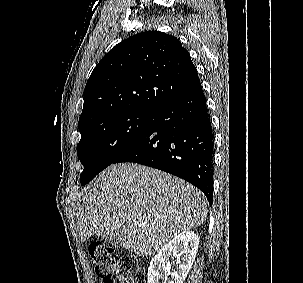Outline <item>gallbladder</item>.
Instances as JSON below:
<instances>
[{"mask_svg":"<svg viewBox=\"0 0 303 283\" xmlns=\"http://www.w3.org/2000/svg\"><path fill=\"white\" fill-rule=\"evenodd\" d=\"M105 241L112 244L115 247H120L121 246L120 232H117L114 235L106 236Z\"/></svg>","mask_w":303,"mask_h":283,"instance_id":"bac80fb5","label":"gallbladder"}]
</instances>
